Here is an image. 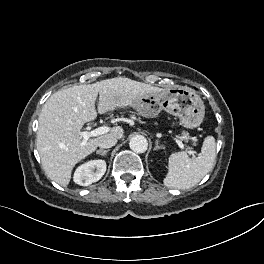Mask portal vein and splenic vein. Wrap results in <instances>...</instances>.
<instances>
[{"mask_svg":"<svg viewBox=\"0 0 264 264\" xmlns=\"http://www.w3.org/2000/svg\"><path fill=\"white\" fill-rule=\"evenodd\" d=\"M111 129L109 127L106 126H102L99 128H96L92 131H82L79 132L80 137L83 139L81 146H84L86 144V142L91 138V137H97L100 135H103L107 132H109ZM174 140L176 141V143L178 144V146L184 150V152L186 154L192 155L193 157H195L196 152L192 151V150H188L187 148H185L184 144L182 143V141H180L177 138H174Z\"/></svg>","mask_w":264,"mask_h":264,"instance_id":"18ae733b","label":"portal vein and splenic vein"}]
</instances>
